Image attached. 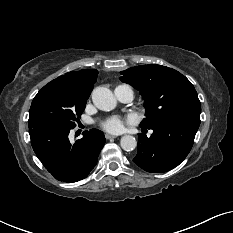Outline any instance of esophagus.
I'll use <instances>...</instances> for the list:
<instances>
[{"label":"esophagus","instance_id":"esophagus-1","mask_svg":"<svg viewBox=\"0 0 233 233\" xmlns=\"http://www.w3.org/2000/svg\"><path fill=\"white\" fill-rule=\"evenodd\" d=\"M106 139H115L116 136L111 135V134H105Z\"/></svg>","mask_w":233,"mask_h":233}]
</instances>
